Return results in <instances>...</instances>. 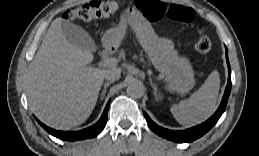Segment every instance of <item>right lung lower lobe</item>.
<instances>
[{
    "mask_svg": "<svg viewBox=\"0 0 259 156\" xmlns=\"http://www.w3.org/2000/svg\"><path fill=\"white\" fill-rule=\"evenodd\" d=\"M109 103H110V101L107 103L100 120L96 124L86 128V129L80 130V131H75V132L58 131V130L51 129V128L47 127L46 125L42 124L39 120H37V119L36 120L48 133H50L51 135H53L59 139H63V140H67V141H75V140H80V139L92 138V137H95L96 135H98L104 129V127L106 125Z\"/></svg>",
    "mask_w": 259,
    "mask_h": 156,
    "instance_id": "right-lung-lower-lobe-1",
    "label": "right lung lower lobe"
}]
</instances>
